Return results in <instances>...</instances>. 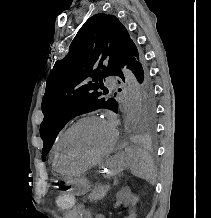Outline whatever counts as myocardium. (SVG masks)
Wrapping results in <instances>:
<instances>
[{"label": "myocardium", "instance_id": "f54148a6", "mask_svg": "<svg viewBox=\"0 0 211 218\" xmlns=\"http://www.w3.org/2000/svg\"><path fill=\"white\" fill-rule=\"evenodd\" d=\"M90 120H102L104 122H106L102 117L98 116V115H86L83 116L79 119H77L75 122H73L61 135V137L58 140L56 149H55V160H58L59 163H63V164H68V162L65 161H61L60 159V149L61 146L66 138V136L78 125H80L83 122L86 121H90ZM107 123V122H106ZM108 124V123H107ZM111 131H112V142L110 144V146L100 155H98L96 158H94L93 160L86 162V163H79L78 167L79 168H89L94 166L95 164H97L98 162H100L101 160L105 159L106 157H108L115 149L117 142H118V133L116 131V129L108 124Z\"/></svg>", "mask_w": 211, "mask_h": 218}]
</instances>
